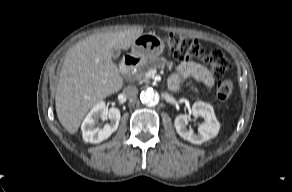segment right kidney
<instances>
[{
    "label": "right kidney",
    "instance_id": "ca27d5eb",
    "mask_svg": "<svg viewBox=\"0 0 292 192\" xmlns=\"http://www.w3.org/2000/svg\"><path fill=\"white\" fill-rule=\"evenodd\" d=\"M120 117L119 109L110 108L107 110L104 102L97 103L82 123L81 129L84 141L96 144L108 139L117 130ZM99 119H110V124H106L103 129H100L96 127Z\"/></svg>",
    "mask_w": 292,
    "mask_h": 192
}]
</instances>
